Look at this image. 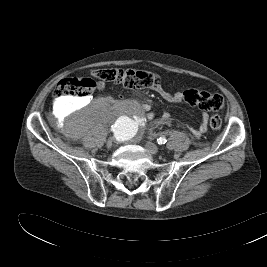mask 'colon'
I'll list each match as a JSON object with an SVG mask.
<instances>
[{"label": "colon", "instance_id": "colon-1", "mask_svg": "<svg viewBox=\"0 0 267 267\" xmlns=\"http://www.w3.org/2000/svg\"><path fill=\"white\" fill-rule=\"evenodd\" d=\"M92 77L65 78L60 80L53 90L56 98L77 97L84 98L90 95L96 87L95 79L115 85H121L128 89L155 88L160 85V78L156 73L123 68L95 69ZM183 100L190 106L201 110L218 111L224 107V99L221 95L199 89H189L183 92ZM210 126L214 130L222 127L219 116H212Z\"/></svg>", "mask_w": 267, "mask_h": 267}]
</instances>
